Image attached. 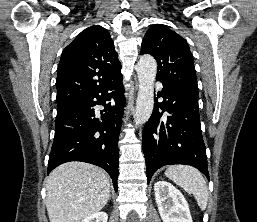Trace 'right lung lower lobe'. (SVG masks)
<instances>
[{
    "label": "right lung lower lobe",
    "mask_w": 257,
    "mask_h": 222,
    "mask_svg": "<svg viewBox=\"0 0 257 222\" xmlns=\"http://www.w3.org/2000/svg\"><path fill=\"white\" fill-rule=\"evenodd\" d=\"M122 74L92 95L57 112L54 143L48 173L62 163L83 161L102 167L111 176L117 191L118 138L125 97ZM103 105L100 118L93 107Z\"/></svg>",
    "instance_id": "right-lung-lower-lobe-1"
}]
</instances>
